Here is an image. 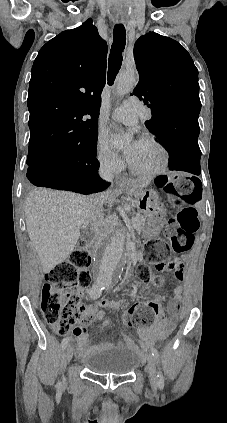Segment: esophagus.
Here are the masks:
<instances>
[{"label": "esophagus", "mask_w": 227, "mask_h": 423, "mask_svg": "<svg viewBox=\"0 0 227 423\" xmlns=\"http://www.w3.org/2000/svg\"><path fill=\"white\" fill-rule=\"evenodd\" d=\"M115 181H116V184H123L127 180L123 176H118V177H116Z\"/></svg>", "instance_id": "obj_1"}]
</instances>
